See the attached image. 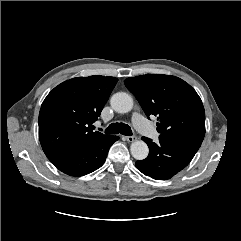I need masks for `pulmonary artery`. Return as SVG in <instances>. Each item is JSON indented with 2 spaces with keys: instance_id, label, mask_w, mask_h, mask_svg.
Returning <instances> with one entry per match:
<instances>
[{
  "instance_id": "obj_1",
  "label": "pulmonary artery",
  "mask_w": 241,
  "mask_h": 241,
  "mask_svg": "<svg viewBox=\"0 0 241 241\" xmlns=\"http://www.w3.org/2000/svg\"><path fill=\"white\" fill-rule=\"evenodd\" d=\"M132 121L136 129L139 130L140 132L144 133L150 138H153V139L158 138L157 131L149 123H147L141 115L137 113L134 114Z\"/></svg>"
}]
</instances>
